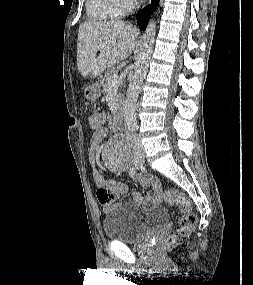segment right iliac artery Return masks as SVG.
<instances>
[{
	"label": "right iliac artery",
	"mask_w": 253,
	"mask_h": 285,
	"mask_svg": "<svg viewBox=\"0 0 253 285\" xmlns=\"http://www.w3.org/2000/svg\"><path fill=\"white\" fill-rule=\"evenodd\" d=\"M138 165H139L138 162L135 160L134 166L129 171V175L131 178H133L135 176L136 169H137Z\"/></svg>",
	"instance_id": "obj_1"
}]
</instances>
